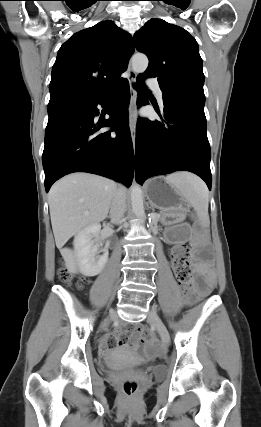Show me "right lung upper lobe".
Returning <instances> with one entry per match:
<instances>
[{
  "mask_svg": "<svg viewBox=\"0 0 261 427\" xmlns=\"http://www.w3.org/2000/svg\"><path fill=\"white\" fill-rule=\"evenodd\" d=\"M133 52L132 37L112 21L73 34L52 68L48 110L95 103L114 92Z\"/></svg>",
  "mask_w": 261,
  "mask_h": 427,
  "instance_id": "1",
  "label": "right lung upper lobe"
}]
</instances>
